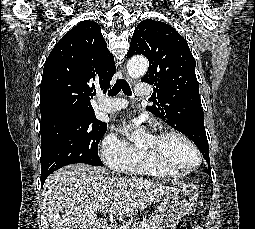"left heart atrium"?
Listing matches in <instances>:
<instances>
[{"label":"left heart atrium","mask_w":255,"mask_h":229,"mask_svg":"<svg viewBox=\"0 0 255 229\" xmlns=\"http://www.w3.org/2000/svg\"><path fill=\"white\" fill-rule=\"evenodd\" d=\"M120 130H121L122 132H128V131H129V126L126 125L125 123H123V124L121 125Z\"/></svg>","instance_id":"left-heart-atrium-1"}]
</instances>
